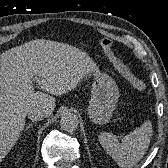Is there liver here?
<instances>
[{
    "instance_id": "liver-1",
    "label": "liver",
    "mask_w": 168,
    "mask_h": 168,
    "mask_svg": "<svg viewBox=\"0 0 168 168\" xmlns=\"http://www.w3.org/2000/svg\"><path fill=\"white\" fill-rule=\"evenodd\" d=\"M99 69L69 44L37 39L0 55V162L18 140L31 109L51 116L56 100ZM33 82L44 92L35 91ZM51 94V95H49Z\"/></svg>"
}]
</instances>
